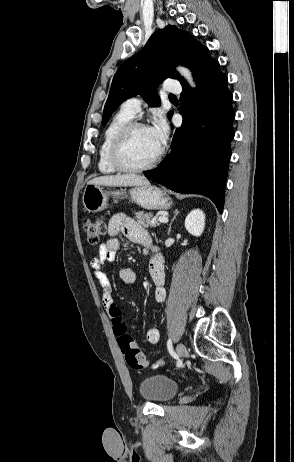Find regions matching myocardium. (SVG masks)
Here are the masks:
<instances>
[{
    "mask_svg": "<svg viewBox=\"0 0 294 462\" xmlns=\"http://www.w3.org/2000/svg\"><path fill=\"white\" fill-rule=\"evenodd\" d=\"M140 128H148V126L142 122L131 121L126 124L114 137L110 149H109V160L111 164L118 170L130 173H139L152 169L157 165L163 156V150L148 163L141 166H134L129 164L124 157V150L130 136Z\"/></svg>",
    "mask_w": 294,
    "mask_h": 462,
    "instance_id": "f54148a6",
    "label": "myocardium"
}]
</instances>
